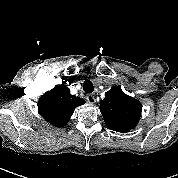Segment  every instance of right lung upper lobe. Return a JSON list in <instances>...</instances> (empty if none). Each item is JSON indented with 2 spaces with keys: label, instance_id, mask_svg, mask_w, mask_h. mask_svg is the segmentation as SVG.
<instances>
[{
  "label": "right lung upper lobe",
  "instance_id": "1",
  "mask_svg": "<svg viewBox=\"0 0 178 178\" xmlns=\"http://www.w3.org/2000/svg\"><path fill=\"white\" fill-rule=\"evenodd\" d=\"M69 92V88L63 84L57 85L38 101L40 115L56 127L64 126L75 108L85 103L83 99L73 96Z\"/></svg>",
  "mask_w": 178,
  "mask_h": 178
}]
</instances>
